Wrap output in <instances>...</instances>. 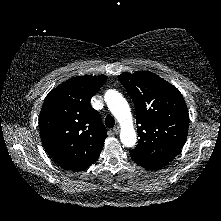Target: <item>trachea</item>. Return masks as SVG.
I'll return each instance as SVG.
<instances>
[{"mask_svg": "<svg viewBox=\"0 0 221 221\" xmlns=\"http://www.w3.org/2000/svg\"><path fill=\"white\" fill-rule=\"evenodd\" d=\"M105 124L108 128H112L115 125V120L112 116L108 115L105 118Z\"/></svg>", "mask_w": 221, "mask_h": 221, "instance_id": "1", "label": "trachea"}]
</instances>
